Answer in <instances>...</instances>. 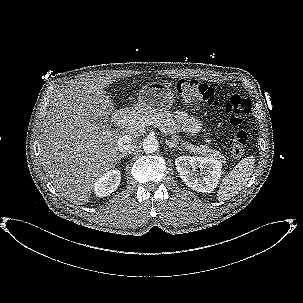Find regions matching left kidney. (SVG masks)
<instances>
[{
    "label": "left kidney",
    "mask_w": 303,
    "mask_h": 303,
    "mask_svg": "<svg viewBox=\"0 0 303 303\" xmlns=\"http://www.w3.org/2000/svg\"><path fill=\"white\" fill-rule=\"evenodd\" d=\"M175 166L187 186L203 193H211L217 187L222 173L221 162L207 157L180 156L176 158Z\"/></svg>",
    "instance_id": "obj_1"
}]
</instances>
